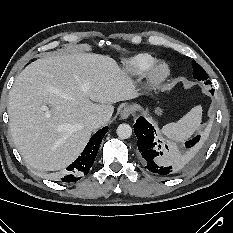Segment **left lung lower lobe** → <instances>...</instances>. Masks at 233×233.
Instances as JSON below:
<instances>
[{
	"instance_id": "1",
	"label": "left lung lower lobe",
	"mask_w": 233,
	"mask_h": 233,
	"mask_svg": "<svg viewBox=\"0 0 233 233\" xmlns=\"http://www.w3.org/2000/svg\"><path fill=\"white\" fill-rule=\"evenodd\" d=\"M206 83L209 84L210 81ZM211 93L213 94V90ZM133 128L145 168L156 175L169 177L176 173L180 166L193 163L200 153V136L186 141L181 153H174L167 145L160 144L161 141L154 135L155 129L144 117L137 119Z\"/></svg>"
}]
</instances>
